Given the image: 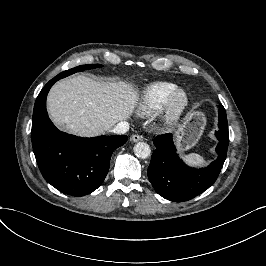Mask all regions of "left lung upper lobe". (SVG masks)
<instances>
[{"label": "left lung upper lobe", "mask_w": 266, "mask_h": 266, "mask_svg": "<svg viewBox=\"0 0 266 266\" xmlns=\"http://www.w3.org/2000/svg\"><path fill=\"white\" fill-rule=\"evenodd\" d=\"M219 109H220L219 112L224 111V110H223L224 107H223L222 105H220V108H219Z\"/></svg>", "instance_id": "1"}]
</instances>
